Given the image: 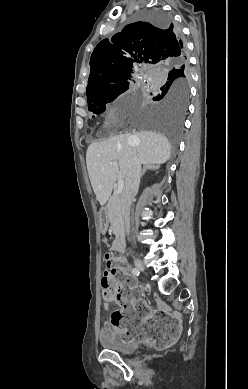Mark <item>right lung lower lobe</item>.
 I'll return each instance as SVG.
<instances>
[{"label": "right lung lower lobe", "instance_id": "98d812e1", "mask_svg": "<svg viewBox=\"0 0 248 389\" xmlns=\"http://www.w3.org/2000/svg\"><path fill=\"white\" fill-rule=\"evenodd\" d=\"M178 38H179L178 43H180L182 41V38H181V34L179 32H178ZM180 49L181 48L179 47L176 50H180Z\"/></svg>", "mask_w": 248, "mask_h": 389}]
</instances>
